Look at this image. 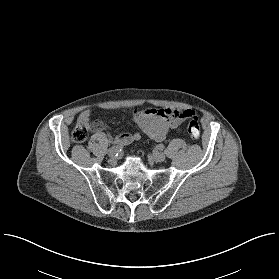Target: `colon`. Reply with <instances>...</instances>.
I'll return each instance as SVG.
<instances>
[{
  "label": "colon",
  "instance_id": "colon-1",
  "mask_svg": "<svg viewBox=\"0 0 279 279\" xmlns=\"http://www.w3.org/2000/svg\"><path fill=\"white\" fill-rule=\"evenodd\" d=\"M89 128L77 125L72 132V140L75 143H82L87 139ZM188 134L193 140H197L200 136V126L195 119L191 120L188 125Z\"/></svg>",
  "mask_w": 279,
  "mask_h": 279
}]
</instances>
